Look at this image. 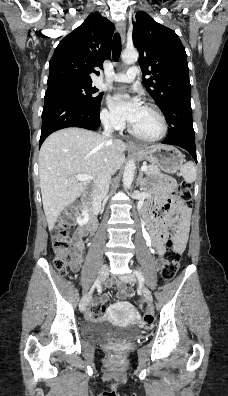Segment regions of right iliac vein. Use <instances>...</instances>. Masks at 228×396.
<instances>
[{
  "mask_svg": "<svg viewBox=\"0 0 228 396\" xmlns=\"http://www.w3.org/2000/svg\"><path fill=\"white\" fill-rule=\"evenodd\" d=\"M108 270H109L108 265L107 264L103 265L98 272V280L105 279L108 275ZM91 297H92V292H89L82 297L80 304H79V308H80L81 312L85 311L87 305L89 304V302L91 300Z\"/></svg>",
  "mask_w": 228,
  "mask_h": 396,
  "instance_id": "63e3f726",
  "label": "right iliac vein"
}]
</instances>
